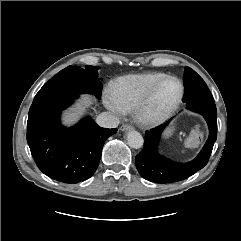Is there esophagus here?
Returning <instances> with one entry per match:
<instances>
[{
  "mask_svg": "<svg viewBox=\"0 0 241 241\" xmlns=\"http://www.w3.org/2000/svg\"><path fill=\"white\" fill-rule=\"evenodd\" d=\"M132 129V126L128 125V124H123L121 127H120V130L121 131H129Z\"/></svg>",
  "mask_w": 241,
  "mask_h": 241,
  "instance_id": "esophagus-1",
  "label": "esophagus"
}]
</instances>
